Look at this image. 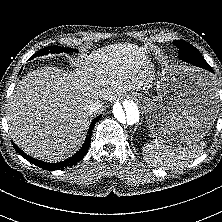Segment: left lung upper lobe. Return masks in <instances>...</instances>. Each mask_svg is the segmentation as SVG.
I'll list each match as a JSON object with an SVG mask.
<instances>
[{"label": "left lung upper lobe", "instance_id": "5c2ea615", "mask_svg": "<svg viewBox=\"0 0 222 222\" xmlns=\"http://www.w3.org/2000/svg\"><path fill=\"white\" fill-rule=\"evenodd\" d=\"M174 44L179 48V58L185 61V58L193 59L196 62L201 63V67H211L202 55L198 52V50L193 47L191 44L184 40L174 41Z\"/></svg>", "mask_w": 222, "mask_h": 222}]
</instances>
